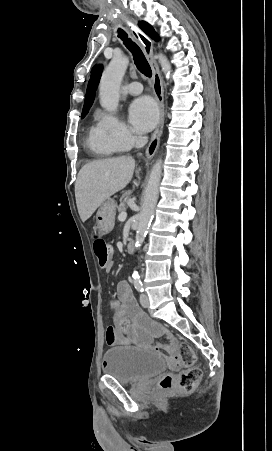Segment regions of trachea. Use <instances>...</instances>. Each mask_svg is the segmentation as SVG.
<instances>
[{"label": "trachea", "instance_id": "trachea-1", "mask_svg": "<svg viewBox=\"0 0 272 451\" xmlns=\"http://www.w3.org/2000/svg\"><path fill=\"white\" fill-rule=\"evenodd\" d=\"M118 36L123 40L124 45L131 51L133 54V59L138 70L146 75V77H151L152 71L149 63L147 62L142 50L138 47V45L133 42L130 38H128L126 32L123 30L118 31Z\"/></svg>", "mask_w": 272, "mask_h": 451}]
</instances>
